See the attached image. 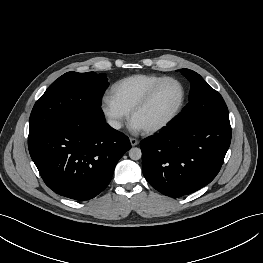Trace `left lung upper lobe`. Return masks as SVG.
Segmentation results:
<instances>
[{
	"instance_id": "obj_1",
	"label": "left lung upper lobe",
	"mask_w": 263,
	"mask_h": 263,
	"mask_svg": "<svg viewBox=\"0 0 263 263\" xmlns=\"http://www.w3.org/2000/svg\"><path fill=\"white\" fill-rule=\"evenodd\" d=\"M181 72L191 83L189 103L172 121L179 130H189L215 118H229V113L222 96L209 86L196 72L182 69Z\"/></svg>"
}]
</instances>
